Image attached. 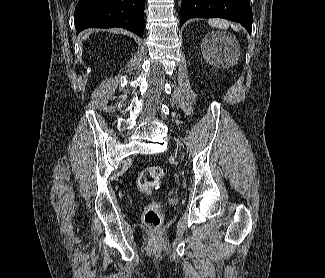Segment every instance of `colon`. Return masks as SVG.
I'll list each match as a JSON object with an SVG mask.
<instances>
[{
  "mask_svg": "<svg viewBox=\"0 0 325 278\" xmlns=\"http://www.w3.org/2000/svg\"><path fill=\"white\" fill-rule=\"evenodd\" d=\"M166 171L159 166H151L143 169L138 178V184L142 191L148 193L155 188L165 176ZM144 223L152 230H157L162 223L160 205L150 204L143 213Z\"/></svg>",
  "mask_w": 325,
  "mask_h": 278,
  "instance_id": "obj_1",
  "label": "colon"
}]
</instances>
